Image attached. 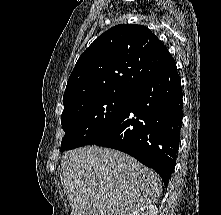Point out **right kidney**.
<instances>
[{"label":"right kidney","instance_id":"obj_1","mask_svg":"<svg viewBox=\"0 0 221 215\" xmlns=\"http://www.w3.org/2000/svg\"><path fill=\"white\" fill-rule=\"evenodd\" d=\"M158 209L155 205L149 204L132 212L130 215H157Z\"/></svg>","mask_w":221,"mask_h":215}]
</instances>
